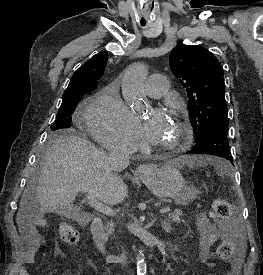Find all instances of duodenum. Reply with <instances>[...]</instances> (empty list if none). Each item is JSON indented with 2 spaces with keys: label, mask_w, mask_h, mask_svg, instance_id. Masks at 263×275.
Returning <instances> with one entry per match:
<instances>
[{
  "label": "duodenum",
  "mask_w": 263,
  "mask_h": 275,
  "mask_svg": "<svg viewBox=\"0 0 263 275\" xmlns=\"http://www.w3.org/2000/svg\"><path fill=\"white\" fill-rule=\"evenodd\" d=\"M90 230L95 247L104 256L107 263H119L126 258V254H113L107 251L104 239V222L100 217L93 218Z\"/></svg>",
  "instance_id": "duodenum-1"
}]
</instances>
